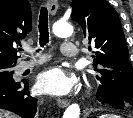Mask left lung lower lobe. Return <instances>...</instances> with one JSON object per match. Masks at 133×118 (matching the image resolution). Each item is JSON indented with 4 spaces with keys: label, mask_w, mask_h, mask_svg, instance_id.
Instances as JSON below:
<instances>
[{
    "label": "left lung lower lobe",
    "mask_w": 133,
    "mask_h": 118,
    "mask_svg": "<svg viewBox=\"0 0 133 118\" xmlns=\"http://www.w3.org/2000/svg\"><path fill=\"white\" fill-rule=\"evenodd\" d=\"M106 104L115 108H125L128 107V105L126 104V102H124L121 99L118 98H109L106 101Z\"/></svg>",
    "instance_id": "0a47b994"
}]
</instances>
